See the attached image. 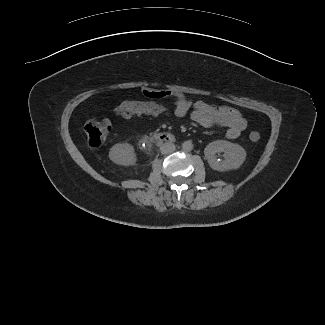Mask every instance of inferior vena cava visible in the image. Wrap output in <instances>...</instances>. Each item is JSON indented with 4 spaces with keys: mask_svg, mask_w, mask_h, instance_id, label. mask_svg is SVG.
I'll return each instance as SVG.
<instances>
[{
    "mask_svg": "<svg viewBox=\"0 0 325 325\" xmlns=\"http://www.w3.org/2000/svg\"><path fill=\"white\" fill-rule=\"evenodd\" d=\"M176 149L173 143H165L160 147V151L162 154H170L174 152Z\"/></svg>",
    "mask_w": 325,
    "mask_h": 325,
    "instance_id": "602c4592",
    "label": "inferior vena cava"
}]
</instances>
